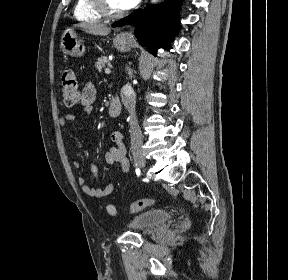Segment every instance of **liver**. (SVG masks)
Returning a JSON list of instances; mask_svg holds the SVG:
<instances>
[{"label": "liver", "mask_w": 288, "mask_h": 280, "mask_svg": "<svg viewBox=\"0 0 288 280\" xmlns=\"http://www.w3.org/2000/svg\"><path fill=\"white\" fill-rule=\"evenodd\" d=\"M75 26L92 35L105 36L111 31L106 25L96 23H79Z\"/></svg>", "instance_id": "obj_1"}]
</instances>
